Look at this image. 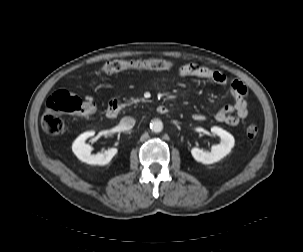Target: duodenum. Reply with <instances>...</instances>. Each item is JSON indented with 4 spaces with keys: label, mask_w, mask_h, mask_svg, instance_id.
Instances as JSON below:
<instances>
[{
    "label": "duodenum",
    "mask_w": 303,
    "mask_h": 252,
    "mask_svg": "<svg viewBox=\"0 0 303 252\" xmlns=\"http://www.w3.org/2000/svg\"><path fill=\"white\" fill-rule=\"evenodd\" d=\"M122 108V104L119 100H114L112 102H110L108 111H107V117L110 119L115 118L118 113L121 111ZM157 112L160 114H166L169 112L168 107L164 106V105H160L157 107Z\"/></svg>",
    "instance_id": "obj_1"
}]
</instances>
